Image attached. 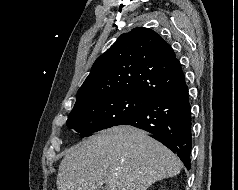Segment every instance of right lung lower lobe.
Masks as SVG:
<instances>
[{
  "label": "right lung lower lobe",
  "instance_id": "98d812e1",
  "mask_svg": "<svg viewBox=\"0 0 238 190\" xmlns=\"http://www.w3.org/2000/svg\"><path fill=\"white\" fill-rule=\"evenodd\" d=\"M153 134L190 169L192 120L188 88L183 76L178 82L153 99L145 108L119 122Z\"/></svg>",
  "mask_w": 238,
  "mask_h": 190
}]
</instances>
